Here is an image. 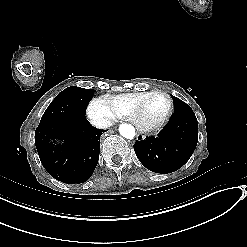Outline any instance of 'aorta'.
Masks as SVG:
<instances>
[{"instance_id": "aorta-1", "label": "aorta", "mask_w": 247, "mask_h": 247, "mask_svg": "<svg viewBox=\"0 0 247 247\" xmlns=\"http://www.w3.org/2000/svg\"><path fill=\"white\" fill-rule=\"evenodd\" d=\"M120 134L127 139H133L135 136V128L130 124H121L119 127Z\"/></svg>"}]
</instances>
